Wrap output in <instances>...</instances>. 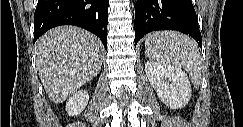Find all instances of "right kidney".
<instances>
[{"mask_svg": "<svg viewBox=\"0 0 243 127\" xmlns=\"http://www.w3.org/2000/svg\"><path fill=\"white\" fill-rule=\"evenodd\" d=\"M89 101L88 92L80 90L76 92L72 97L66 102V111L70 116H77L80 114Z\"/></svg>", "mask_w": 243, "mask_h": 127, "instance_id": "ca27d5eb", "label": "right kidney"}]
</instances>
